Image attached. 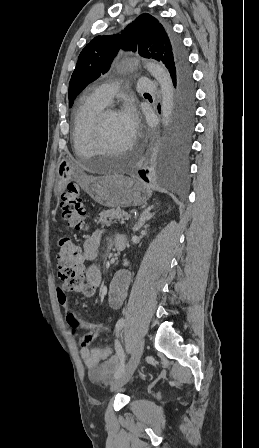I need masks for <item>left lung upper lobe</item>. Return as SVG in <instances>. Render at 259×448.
I'll return each instance as SVG.
<instances>
[{"mask_svg": "<svg viewBox=\"0 0 259 448\" xmlns=\"http://www.w3.org/2000/svg\"><path fill=\"white\" fill-rule=\"evenodd\" d=\"M138 51L145 58L162 61L170 68L178 55L175 39L162 24L148 13L138 16L120 35L97 36L78 57L69 83V106L76 96L91 82L106 73L118 50Z\"/></svg>", "mask_w": 259, "mask_h": 448, "instance_id": "left-lung-upper-lobe-1", "label": "left lung upper lobe"}]
</instances>
